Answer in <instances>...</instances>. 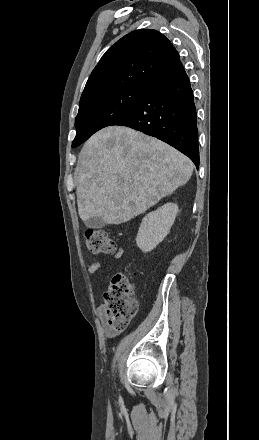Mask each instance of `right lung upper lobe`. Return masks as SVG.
<instances>
[{"mask_svg":"<svg viewBox=\"0 0 259 440\" xmlns=\"http://www.w3.org/2000/svg\"><path fill=\"white\" fill-rule=\"evenodd\" d=\"M178 62L177 50L160 32H130L102 56L85 85L80 105L119 89L148 88Z\"/></svg>","mask_w":259,"mask_h":440,"instance_id":"right-lung-upper-lobe-1","label":"right lung upper lobe"}]
</instances>
